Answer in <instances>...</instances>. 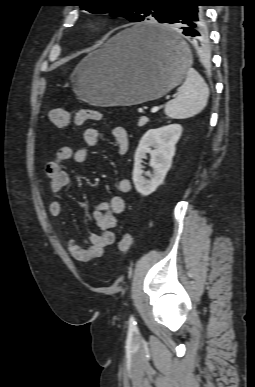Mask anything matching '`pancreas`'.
I'll return each instance as SVG.
<instances>
[{"label": "pancreas", "mask_w": 255, "mask_h": 387, "mask_svg": "<svg viewBox=\"0 0 255 387\" xmlns=\"http://www.w3.org/2000/svg\"><path fill=\"white\" fill-rule=\"evenodd\" d=\"M140 119H141V118H140ZM140 119H139V122H138V126H139V127L145 125V124L148 122V119H147V118L142 117V122L140 123Z\"/></svg>", "instance_id": "pancreas-1"}]
</instances>
